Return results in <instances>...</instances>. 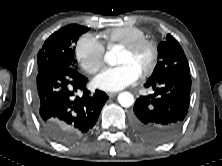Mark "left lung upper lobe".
Wrapping results in <instances>:
<instances>
[{
    "label": "left lung upper lobe",
    "instance_id": "left-lung-upper-lobe-1",
    "mask_svg": "<svg viewBox=\"0 0 222 166\" xmlns=\"http://www.w3.org/2000/svg\"><path fill=\"white\" fill-rule=\"evenodd\" d=\"M158 56L159 61L150 80H157L172 74L190 72L183 49L170 34L158 45Z\"/></svg>",
    "mask_w": 222,
    "mask_h": 166
}]
</instances>
